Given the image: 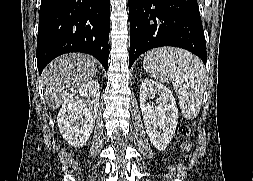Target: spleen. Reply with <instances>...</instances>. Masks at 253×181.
Here are the masks:
<instances>
[{
	"label": "spleen",
	"mask_w": 253,
	"mask_h": 181,
	"mask_svg": "<svg viewBox=\"0 0 253 181\" xmlns=\"http://www.w3.org/2000/svg\"><path fill=\"white\" fill-rule=\"evenodd\" d=\"M143 67L151 77L172 82L185 118L192 119L199 114L205 73L198 57L183 49L161 47L145 54Z\"/></svg>",
	"instance_id": "1"
}]
</instances>
